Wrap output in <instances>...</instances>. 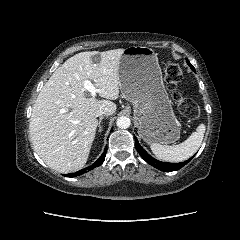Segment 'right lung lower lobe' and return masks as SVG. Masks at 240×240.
<instances>
[{"instance_id":"obj_1","label":"right lung lower lobe","mask_w":240,"mask_h":240,"mask_svg":"<svg viewBox=\"0 0 240 240\" xmlns=\"http://www.w3.org/2000/svg\"><path fill=\"white\" fill-rule=\"evenodd\" d=\"M106 151H107V148L104 149V152L102 153V155L99 157V159L95 163H93L92 166H89V167H86L82 170H79L76 173H69V174H67V176L68 177L79 176V175H81V174H83L87 171H90V170L94 169L95 167L100 166L103 163V161L105 160Z\"/></svg>"}]
</instances>
